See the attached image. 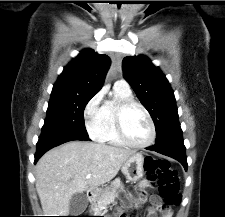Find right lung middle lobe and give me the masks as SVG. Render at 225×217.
<instances>
[{
    "label": "right lung middle lobe",
    "instance_id": "dd1d6c3e",
    "mask_svg": "<svg viewBox=\"0 0 225 217\" xmlns=\"http://www.w3.org/2000/svg\"><path fill=\"white\" fill-rule=\"evenodd\" d=\"M93 96L51 94L41 134L59 133L89 138L84 109Z\"/></svg>",
    "mask_w": 225,
    "mask_h": 217
}]
</instances>
